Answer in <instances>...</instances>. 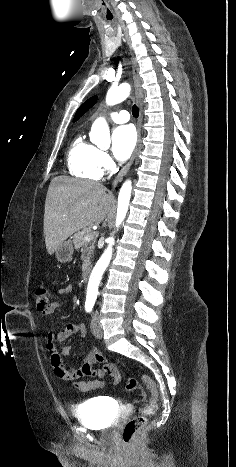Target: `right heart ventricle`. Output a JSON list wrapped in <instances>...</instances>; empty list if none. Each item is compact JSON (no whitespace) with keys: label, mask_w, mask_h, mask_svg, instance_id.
<instances>
[{"label":"right heart ventricle","mask_w":236,"mask_h":467,"mask_svg":"<svg viewBox=\"0 0 236 467\" xmlns=\"http://www.w3.org/2000/svg\"><path fill=\"white\" fill-rule=\"evenodd\" d=\"M98 150L79 134L68 150L66 163L69 173L77 178L99 180L102 171L97 161Z\"/></svg>","instance_id":"obj_1"}]
</instances>
